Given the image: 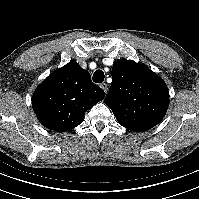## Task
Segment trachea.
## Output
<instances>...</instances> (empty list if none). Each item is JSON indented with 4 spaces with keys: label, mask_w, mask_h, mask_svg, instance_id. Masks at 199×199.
Returning <instances> with one entry per match:
<instances>
[{
    "label": "trachea",
    "mask_w": 199,
    "mask_h": 199,
    "mask_svg": "<svg viewBox=\"0 0 199 199\" xmlns=\"http://www.w3.org/2000/svg\"><path fill=\"white\" fill-rule=\"evenodd\" d=\"M104 72L102 70H96L93 74V81L95 83H102L104 81Z\"/></svg>",
    "instance_id": "3493384b"
}]
</instances>
